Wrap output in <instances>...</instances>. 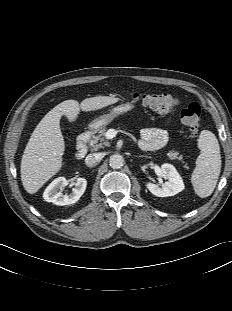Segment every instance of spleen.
Wrapping results in <instances>:
<instances>
[{
  "mask_svg": "<svg viewBox=\"0 0 232 311\" xmlns=\"http://www.w3.org/2000/svg\"><path fill=\"white\" fill-rule=\"evenodd\" d=\"M200 155L191 176L195 193L205 198L210 196L217 184L221 171L220 146L216 136L208 130L201 131L198 138Z\"/></svg>",
  "mask_w": 232,
  "mask_h": 311,
  "instance_id": "spleen-1",
  "label": "spleen"
}]
</instances>
